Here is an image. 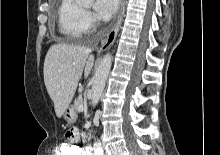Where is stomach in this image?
Instances as JSON below:
<instances>
[{
  "label": "stomach",
  "mask_w": 220,
  "mask_h": 155,
  "mask_svg": "<svg viewBox=\"0 0 220 155\" xmlns=\"http://www.w3.org/2000/svg\"><path fill=\"white\" fill-rule=\"evenodd\" d=\"M76 117H77L76 112L74 111L72 107L67 108L65 112L63 113V118L69 125L75 122Z\"/></svg>",
  "instance_id": "1"
}]
</instances>
